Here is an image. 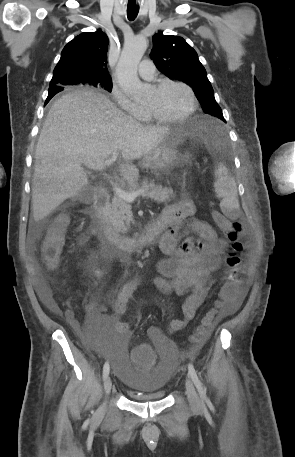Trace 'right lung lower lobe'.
Here are the masks:
<instances>
[{"instance_id":"obj_1","label":"right lung lower lobe","mask_w":295,"mask_h":457,"mask_svg":"<svg viewBox=\"0 0 295 457\" xmlns=\"http://www.w3.org/2000/svg\"><path fill=\"white\" fill-rule=\"evenodd\" d=\"M61 90H63L62 88H58V87H49V92H48V97H47V100L45 102V104H47L50 99L55 95L57 94L58 92H60Z\"/></svg>"}]
</instances>
